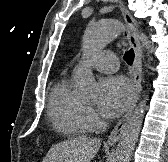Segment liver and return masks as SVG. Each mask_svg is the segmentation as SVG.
Returning <instances> with one entry per match:
<instances>
[{
	"label": "liver",
	"mask_w": 168,
	"mask_h": 162,
	"mask_svg": "<svg viewBox=\"0 0 168 162\" xmlns=\"http://www.w3.org/2000/svg\"><path fill=\"white\" fill-rule=\"evenodd\" d=\"M101 147L98 138L77 137L50 148L42 162H91Z\"/></svg>",
	"instance_id": "6515ba94"
}]
</instances>
